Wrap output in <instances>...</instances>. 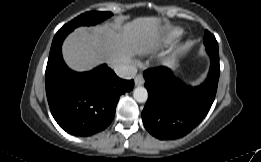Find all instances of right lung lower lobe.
<instances>
[{
	"mask_svg": "<svg viewBox=\"0 0 261 162\" xmlns=\"http://www.w3.org/2000/svg\"><path fill=\"white\" fill-rule=\"evenodd\" d=\"M69 31L54 36L45 72L51 113L67 133L87 137L112 122L119 97L131 91L133 80H123L106 65L77 73L63 61L61 46Z\"/></svg>",
	"mask_w": 261,
	"mask_h": 162,
	"instance_id": "1",
	"label": "right lung lower lobe"
}]
</instances>
